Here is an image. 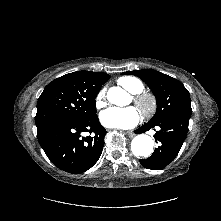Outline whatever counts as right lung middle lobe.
<instances>
[{"mask_svg":"<svg viewBox=\"0 0 221 221\" xmlns=\"http://www.w3.org/2000/svg\"><path fill=\"white\" fill-rule=\"evenodd\" d=\"M89 88L66 74L49 83L37 102V128L55 121H86L96 117L95 97Z\"/></svg>","mask_w":221,"mask_h":221,"instance_id":"dd1d6c3e","label":"right lung middle lobe"}]
</instances>
